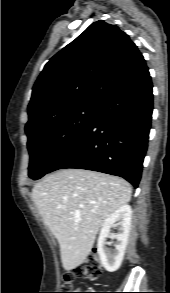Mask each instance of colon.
Returning <instances> with one entry per match:
<instances>
[{
    "label": "colon",
    "mask_w": 170,
    "mask_h": 293,
    "mask_svg": "<svg viewBox=\"0 0 170 293\" xmlns=\"http://www.w3.org/2000/svg\"><path fill=\"white\" fill-rule=\"evenodd\" d=\"M100 273V258L97 250H93L85 261L76 267L71 273H66L62 277L65 289H73L75 278L94 279ZM69 293H87V292H69Z\"/></svg>",
    "instance_id": "5ec220e1"
}]
</instances>
